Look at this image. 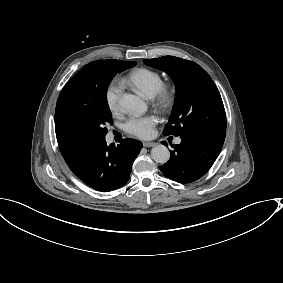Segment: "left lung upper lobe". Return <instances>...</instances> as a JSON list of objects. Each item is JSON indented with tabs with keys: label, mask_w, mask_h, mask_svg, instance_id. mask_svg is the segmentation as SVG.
<instances>
[{
	"label": "left lung upper lobe",
	"mask_w": 283,
	"mask_h": 283,
	"mask_svg": "<svg viewBox=\"0 0 283 283\" xmlns=\"http://www.w3.org/2000/svg\"><path fill=\"white\" fill-rule=\"evenodd\" d=\"M148 66L167 72L176 85V99L164 135H192L224 140L226 115L220 93L198 64L174 56L144 59Z\"/></svg>",
	"instance_id": "left-lung-upper-lobe-1"
}]
</instances>
